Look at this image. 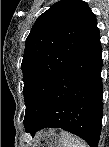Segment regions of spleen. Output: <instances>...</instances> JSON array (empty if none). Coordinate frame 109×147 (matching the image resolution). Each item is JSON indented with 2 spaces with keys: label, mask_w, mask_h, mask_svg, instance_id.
<instances>
[{
  "label": "spleen",
  "mask_w": 109,
  "mask_h": 147,
  "mask_svg": "<svg viewBox=\"0 0 109 147\" xmlns=\"http://www.w3.org/2000/svg\"><path fill=\"white\" fill-rule=\"evenodd\" d=\"M62 137L64 140L63 147H88L84 140L68 132H63Z\"/></svg>",
  "instance_id": "3e777b00"
}]
</instances>
